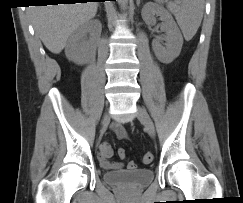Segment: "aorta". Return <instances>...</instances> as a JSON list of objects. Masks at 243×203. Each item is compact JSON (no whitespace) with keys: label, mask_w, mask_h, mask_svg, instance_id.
<instances>
[{"label":"aorta","mask_w":243,"mask_h":203,"mask_svg":"<svg viewBox=\"0 0 243 203\" xmlns=\"http://www.w3.org/2000/svg\"><path fill=\"white\" fill-rule=\"evenodd\" d=\"M118 3L121 6V8H126L128 0H118Z\"/></svg>","instance_id":"aorta-1"}]
</instances>
